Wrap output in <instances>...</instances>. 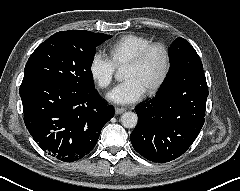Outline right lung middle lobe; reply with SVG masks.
Listing matches in <instances>:
<instances>
[{
	"mask_svg": "<svg viewBox=\"0 0 240 191\" xmlns=\"http://www.w3.org/2000/svg\"><path fill=\"white\" fill-rule=\"evenodd\" d=\"M110 37L90 31L55 33L32 53L23 81L47 80L70 85L79 91L94 89L91 65L95 48Z\"/></svg>",
	"mask_w": 240,
	"mask_h": 191,
	"instance_id": "obj_1",
	"label": "right lung middle lobe"
}]
</instances>
